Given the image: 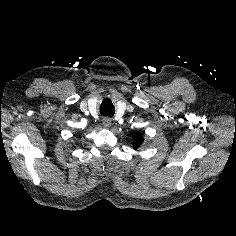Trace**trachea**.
I'll return each instance as SVG.
<instances>
[{"instance_id": "obj_1", "label": "trachea", "mask_w": 236, "mask_h": 236, "mask_svg": "<svg viewBox=\"0 0 236 236\" xmlns=\"http://www.w3.org/2000/svg\"><path fill=\"white\" fill-rule=\"evenodd\" d=\"M101 114L103 116H109V117H112L114 115V109L113 108H108V109H102L101 110Z\"/></svg>"}]
</instances>
